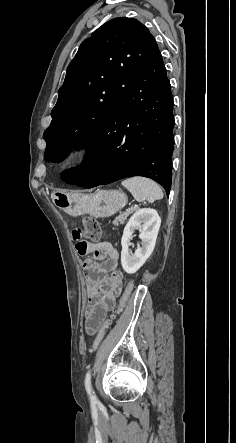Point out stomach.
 <instances>
[{
  "label": "stomach",
  "mask_w": 236,
  "mask_h": 443,
  "mask_svg": "<svg viewBox=\"0 0 236 443\" xmlns=\"http://www.w3.org/2000/svg\"><path fill=\"white\" fill-rule=\"evenodd\" d=\"M127 203V196L119 190H97L92 194L57 193L54 204L70 214H91L96 217H110Z\"/></svg>",
  "instance_id": "stomach-1"
}]
</instances>
